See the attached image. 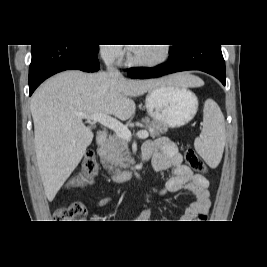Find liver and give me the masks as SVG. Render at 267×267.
Returning a JSON list of instances; mask_svg holds the SVG:
<instances>
[{
	"label": "liver",
	"mask_w": 267,
	"mask_h": 267,
	"mask_svg": "<svg viewBox=\"0 0 267 267\" xmlns=\"http://www.w3.org/2000/svg\"><path fill=\"white\" fill-rule=\"evenodd\" d=\"M165 85L201 87L204 82L188 73L161 79L129 80L108 73L66 71L43 83L31 98L34 144L44 192L52 201L81 161L93 140L79 113H105L121 120L135 111L132 97Z\"/></svg>",
	"instance_id": "1"
}]
</instances>
